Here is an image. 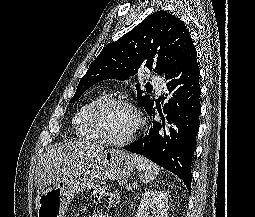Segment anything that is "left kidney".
<instances>
[{
  "label": "left kidney",
  "instance_id": "5707ae66",
  "mask_svg": "<svg viewBox=\"0 0 255 217\" xmlns=\"http://www.w3.org/2000/svg\"><path fill=\"white\" fill-rule=\"evenodd\" d=\"M168 193L164 190H148L141 198L135 217H149L151 210L154 217H168Z\"/></svg>",
  "mask_w": 255,
  "mask_h": 217
}]
</instances>
